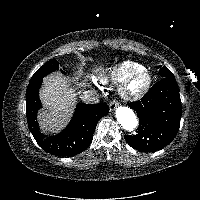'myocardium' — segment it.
Masks as SVG:
<instances>
[{"label":"myocardium","instance_id":"1","mask_svg":"<svg viewBox=\"0 0 200 200\" xmlns=\"http://www.w3.org/2000/svg\"><path fill=\"white\" fill-rule=\"evenodd\" d=\"M145 76L146 81L144 85L137 91L131 89L132 82L139 76ZM152 84V77L146 69L139 70L132 75H130L126 80H124L119 87V95L122 99L126 101H137L144 97L149 91Z\"/></svg>","mask_w":200,"mask_h":200}]
</instances>
